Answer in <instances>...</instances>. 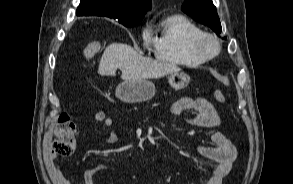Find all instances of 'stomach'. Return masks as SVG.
Here are the masks:
<instances>
[{
  "instance_id": "1",
  "label": "stomach",
  "mask_w": 293,
  "mask_h": 184,
  "mask_svg": "<svg viewBox=\"0 0 293 184\" xmlns=\"http://www.w3.org/2000/svg\"><path fill=\"white\" fill-rule=\"evenodd\" d=\"M168 82L173 89L181 90L188 86L190 77L184 72H174L170 73ZM155 92L154 83L148 79L124 80L116 88V96L125 103L148 101Z\"/></svg>"
}]
</instances>
